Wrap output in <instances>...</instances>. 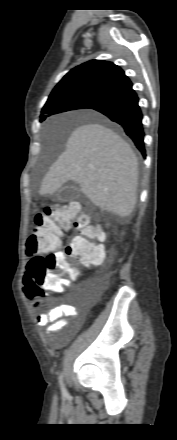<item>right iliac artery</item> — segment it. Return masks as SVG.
<instances>
[{
	"instance_id": "82829eb1",
	"label": "right iliac artery",
	"mask_w": 177,
	"mask_h": 440,
	"mask_svg": "<svg viewBox=\"0 0 177 440\" xmlns=\"http://www.w3.org/2000/svg\"><path fill=\"white\" fill-rule=\"evenodd\" d=\"M60 384H61V390H62L63 395H66L67 391H66L64 384H63L62 374L60 375Z\"/></svg>"
}]
</instances>
